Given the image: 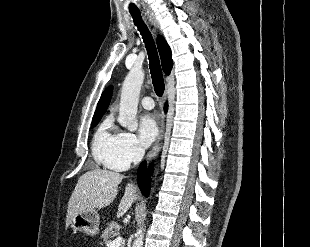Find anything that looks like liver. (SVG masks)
I'll list each match as a JSON object with an SVG mask.
<instances>
[{
    "instance_id": "obj_1",
    "label": "liver",
    "mask_w": 310,
    "mask_h": 247,
    "mask_svg": "<svg viewBox=\"0 0 310 247\" xmlns=\"http://www.w3.org/2000/svg\"><path fill=\"white\" fill-rule=\"evenodd\" d=\"M122 179L123 176L118 172L99 168L87 171L80 176L68 202L66 226L79 212L109 206L118 193V185ZM136 198V188L128 184L118 206V218L128 211Z\"/></svg>"
}]
</instances>
